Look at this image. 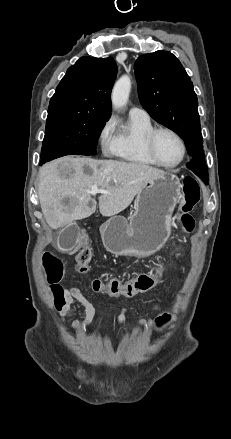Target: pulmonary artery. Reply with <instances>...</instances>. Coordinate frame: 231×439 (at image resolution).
I'll return each mask as SVG.
<instances>
[{
    "instance_id": "1",
    "label": "pulmonary artery",
    "mask_w": 231,
    "mask_h": 439,
    "mask_svg": "<svg viewBox=\"0 0 231 439\" xmlns=\"http://www.w3.org/2000/svg\"><path fill=\"white\" fill-rule=\"evenodd\" d=\"M129 116L149 119V114L146 110L140 107H133L129 111Z\"/></svg>"
}]
</instances>
